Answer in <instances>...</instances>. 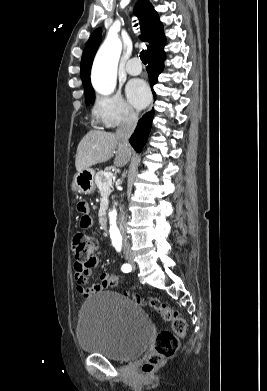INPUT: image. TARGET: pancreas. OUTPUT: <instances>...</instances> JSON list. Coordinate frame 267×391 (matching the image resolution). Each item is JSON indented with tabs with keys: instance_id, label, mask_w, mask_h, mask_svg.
Masks as SVG:
<instances>
[{
	"instance_id": "obj_1",
	"label": "pancreas",
	"mask_w": 267,
	"mask_h": 391,
	"mask_svg": "<svg viewBox=\"0 0 267 391\" xmlns=\"http://www.w3.org/2000/svg\"><path fill=\"white\" fill-rule=\"evenodd\" d=\"M106 172L104 171H98L95 175V184L99 188L100 192H102V189L105 185L108 186V193H111L113 191V186H112V179L106 178L104 176Z\"/></svg>"
}]
</instances>
